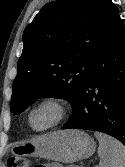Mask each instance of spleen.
Segmentation results:
<instances>
[{
    "instance_id": "1",
    "label": "spleen",
    "mask_w": 125,
    "mask_h": 167,
    "mask_svg": "<svg viewBox=\"0 0 125 167\" xmlns=\"http://www.w3.org/2000/svg\"><path fill=\"white\" fill-rule=\"evenodd\" d=\"M99 141V167H125V146L115 138L95 132Z\"/></svg>"
}]
</instances>
